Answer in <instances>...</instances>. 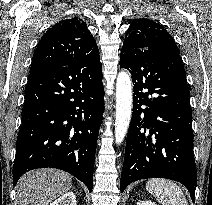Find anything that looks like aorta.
Here are the masks:
<instances>
[{"instance_id":"aorta-1","label":"aorta","mask_w":212,"mask_h":205,"mask_svg":"<svg viewBox=\"0 0 212 205\" xmlns=\"http://www.w3.org/2000/svg\"><path fill=\"white\" fill-rule=\"evenodd\" d=\"M132 114V82L126 71L119 72L116 80V119L115 142L120 145L124 140Z\"/></svg>"}]
</instances>
